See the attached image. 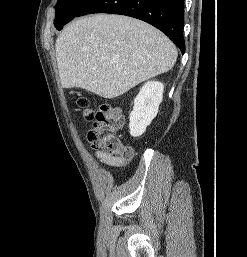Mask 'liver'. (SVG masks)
Returning a JSON list of instances; mask_svg holds the SVG:
<instances>
[{"instance_id":"liver-1","label":"liver","mask_w":247,"mask_h":257,"mask_svg":"<svg viewBox=\"0 0 247 257\" xmlns=\"http://www.w3.org/2000/svg\"><path fill=\"white\" fill-rule=\"evenodd\" d=\"M62 87L118 97L173 68L177 50L157 28L141 20L96 14L71 22L57 37Z\"/></svg>"}]
</instances>
